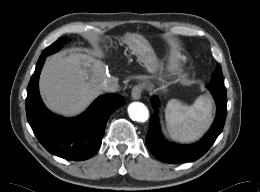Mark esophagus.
Wrapping results in <instances>:
<instances>
[{
  "instance_id": "1",
  "label": "esophagus",
  "mask_w": 260,
  "mask_h": 192,
  "mask_svg": "<svg viewBox=\"0 0 260 192\" xmlns=\"http://www.w3.org/2000/svg\"><path fill=\"white\" fill-rule=\"evenodd\" d=\"M142 85H135L133 88H132V91H131V96L134 100H139L141 98V94H142Z\"/></svg>"
}]
</instances>
